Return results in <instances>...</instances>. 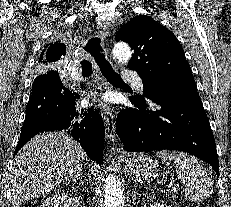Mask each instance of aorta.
Instances as JSON below:
<instances>
[{"mask_svg":"<svg viewBox=\"0 0 231 207\" xmlns=\"http://www.w3.org/2000/svg\"><path fill=\"white\" fill-rule=\"evenodd\" d=\"M112 52L114 57L121 62H127L132 57V51L129 45L124 42L115 44ZM103 207H124L121 182L113 174H109L104 180Z\"/></svg>","mask_w":231,"mask_h":207,"instance_id":"obj_1","label":"aorta"}]
</instances>
